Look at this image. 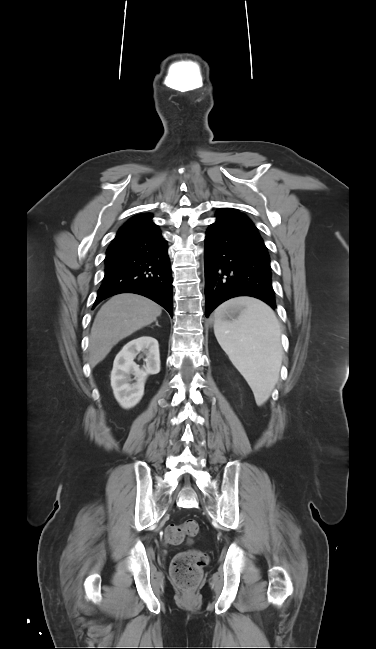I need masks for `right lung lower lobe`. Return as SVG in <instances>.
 Returning a JSON list of instances; mask_svg holds the SVG:
<instances>
[{"mask_svg":"<svg viewBox=\"0 0 376 649\" xmlns=\"http://www.w3.org/2000/svg\"><path fill=\"white\" fill-rule=\"evenodd\" d=\"M167 242L159 229L112 241L105 276L93 308L119 293H136L155 301L173 317L172 274Z\"/></svg>","mask_w":376,"mask_h":649,"instance_id":"right-lung-lower-lobe-1","label":"right lung lower lobe"}]
</instances>
